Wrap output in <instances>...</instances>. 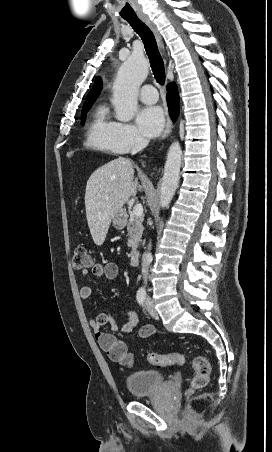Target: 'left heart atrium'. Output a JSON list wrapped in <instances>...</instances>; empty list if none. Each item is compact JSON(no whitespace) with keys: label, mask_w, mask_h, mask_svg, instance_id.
<instances>
[{"label":"left heart atrium","mask_w":272,"mask_h":452,"mask_svg":"<svg viewBox=\"0 0 272 452\" xmlns=\"http://www.w3.org/2000/svg\"><path fill=\"white\" fill-rule=\"evenodd\" d=\"M164 123V113L158 106L146 107L138 116L139 128L147 137L157 136L163 129Z\"/></svg>","instance_id":"left-heart-atrium-1"}]
</instances>
